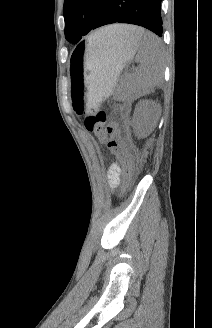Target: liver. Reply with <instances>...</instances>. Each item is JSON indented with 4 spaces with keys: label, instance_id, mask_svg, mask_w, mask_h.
I'll list each match as a JSON object with an SVG mask.
<instances>
[{
    "label": "liver",
    "instance_id": "liver-1",
    "mask_svg": "<svg viewBox=\"0 0 212 328\" xmlns=\"http://www.w3.org/2000/svg\"><path fill=\"white\" fill-rule=\"evenodd\" d=\"M139 28L130 25H111L96 31L100 44H122L129 42Z\"/></svg>",
    "mask_w": 212,
    "mask_h": 328
}]
</instances>
